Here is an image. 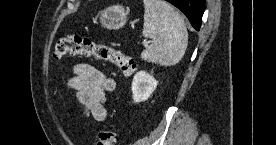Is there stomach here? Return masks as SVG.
Instances as JSON below:
<instances>
[{
	"mask_svg": "<svg viewBox=\"0 0 276 145\" xmlns=\"http://www.w3.org/2000/svg\"><path fill=\"white\" fill-rule=\"evenodd\" d=\"M129 11L122 5H115L106 8L100 13V23L107 29H119L123 27L128 19Z\"/></svg>",
	"mask_w": 276,
	"mask_h": 145,
	"instance_id": "obj_1",
	"label": "stomach"
}]
</instances>
